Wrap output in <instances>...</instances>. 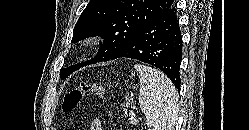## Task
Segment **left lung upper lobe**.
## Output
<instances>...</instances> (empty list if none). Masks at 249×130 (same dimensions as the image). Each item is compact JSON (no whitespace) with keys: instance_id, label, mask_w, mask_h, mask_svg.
<instances>
[{"instance_id":"5c2ea615","label":"left lung upper lobe","mask_w":249,"mask_h":130,"mask_svg":"<svg viewBox=\"0 0 249 130\" xmlns=\"http://www.w3.org/2000/svg\"><path fill=\"white\" fill-rule=\"evenodd\" d=\"M172 5L173 0H90L75 25L72 42L99 35L104 43L91 60L61 69V79L83 66L110 60L143 26Z\"/></svg>"}]
</instances>
